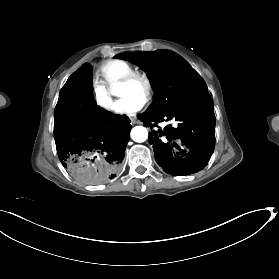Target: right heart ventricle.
I'll use <instances>...</instances> for the list:
<instances>
[{"instance_id":"e07e8e85","label":"right heart ventricle","mask_w":279,"mask_h":279,"mask_svg":"<svg viewBox=\"0 0 279 279\" xmlns=\"http://www.w3.org/2000/svg\"><path fill=\"white\" fill-rule=\"evenodd\" d=\"M132 71H135V68L128 62L121 59H110L97 68L96 75L103 86L108 90H114L118 87L119 81Z\"/></svg>"}]
</instances>
